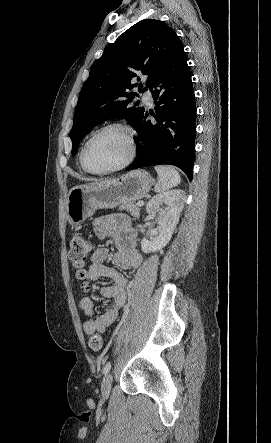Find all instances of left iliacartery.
<instances>
[{"label":"left iliac artery","instance_id":"1","mask_svg":"<svg viewBox=\"0 0 271 443\" xmlns=\"http://www.w3.org/2000/svg\"><path fill=\"white\" fill-rule=\"evenodd\" d=\"M110 369H111V362H107V363L105 364L104 368H103V373H104L105 375L108 374L109 371H110Z\"/></svg>","mask_w":271,"mask_h":443}]
</instances>
